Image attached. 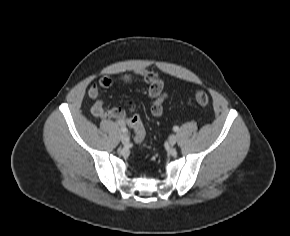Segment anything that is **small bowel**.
I'll return each instance as SVG.
<instances>
[{
    "label": "small bowel",
    "mask_w": 290,
    "mask_h": 236,
    "mask_svg": "<svg viewBox=\"0 0 290 236\" xmlns=\"http://www.w3.org/2000/svg\"><path fill=\"white\" fill-rule=\"evenodd\" d=\"M136 77H139L148 86V95L151 99V114L154 117H160L163 114V103L166 99L164 82L155 73L144 68L134 70L130 74H125L120 80L123 83H129ZM112 85L113 79L109 75H104L99 79L98 83L90 86L87 95L94 101L91 111L98 118H114L120 125H125L129 121L125 111L121 108L106 110L104 102L100 99V88H110Z\"/></svg>",
    "instance_id": "1"
}]
</instances>
